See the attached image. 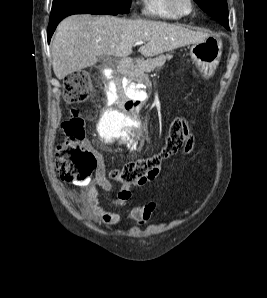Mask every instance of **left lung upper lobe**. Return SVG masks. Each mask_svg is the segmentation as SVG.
Here are the masks:
<instances>
[{"label":"left lung upper lobe","mask_w":267,"mask_h":298,"mask_svg":"<svg viewBox=\"0 0 267 298\" xmlns=\"http://www.w3.org/2000/svg\"><path fill=\"white\" fill-rule=\"evenodd\" d=\"M199 7L218 20L223 26L228 25V6L226 0H194Z\"/></svg>","instance_id":"1"}]
</instances>
